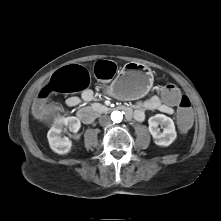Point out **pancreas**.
<instances>
[{
  "label": "pancreas",
  "instance_id": "cf45deb5",
  "mask_svg": "<svg viewBox=\"0 0 221 221\" xmlns=\"http://www.w3.org/2000/svg\"><path fill=\"white\" fill-rule=\"evenodd\" d=\"M91 107H92V109H93L94 111H97V112H101V111H103L104 109H106V107H105L104 105H101V104H99V103H93V104L91 105Z\"/></svg>",
  "mask_w": 221,
  "mask_h": 221
}]
</instances>
